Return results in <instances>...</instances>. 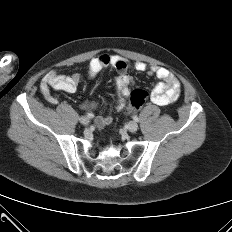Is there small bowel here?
I'll return each instance as SVG.
<instances>
[{
  "label": "small bowel",
  "instance_id": "1",
  "mask_svg": "<svg viewBox=\"0 0 232 232\" xmlns=\"http://www.w3.org/2000/svg\"><path fill=\"white\" fill-rule=\"evenodd\" d=\"M112 67L116 70L117 76L114 81V87L117 96L116 109L124 107L125 101L130 95V89L133 85V79L129 74L131 65L123 58L117 55L100 54L95 56L88 65V74L90 78H95L98 73L106 68ZM137 72H147L160 80L151 92V100L157 105H168L176 101L180 95L181 85L175 75L168 69L153 65L148 67L144 62L137 61L133 64ZM81 82V74L61 75L56 71H50L46 74L40 84V90L44 98L50 104H57L58 99L52 93V89L66 93H74ZM81 109L86 111L94 110L98 107L95 101H85L80 105ZM112 122L110 116H99L95 120L97 128H103Z\"/></svg>",
  "mask_w": 232,
  "mask_h": 232
}]
</instances>
